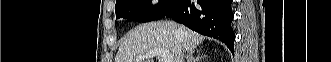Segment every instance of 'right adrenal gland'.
Returning <instances> with one entry per match:
<instances>
[{"mask_svg":"<svg viewBox=\"0 0 331 62\" xmlns=\"http://www.w3.org/2000/svg\"><path fill=\"white\" fill-rule=\"evenodd\" d=\"M202 58H205V55L198 54V56L195 58L193 52H191L187 56V62H198Z\"/></svg>","mask_w":331,"mask_h":62,"instance_id":"2a0ac1e0","label":"right adrenal gland"}]
</instances>
